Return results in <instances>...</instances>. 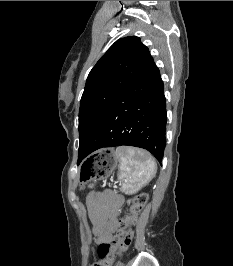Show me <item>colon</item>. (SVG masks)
I'll return each mask as SVG.
<instances>
[{
  "label": "colon",
  "instance_id": "colon-1",
  "mask_svg": "<svg viewBox=\"0 0 233 266\" xmlns=\"http://www.w3.org/2000/svg\"><path fill=\"white\" fill-rule=\"evenodd\" d=\"M146 202L147 195L143 193L135 195L126 201L116 235L111 243L99 246V260L92 266H113L116 262L117 266H123L118 259L128 250L131 244L134 224Z\"/></svg>",
  "mask_w": 233,
  "mask_h": 266
}]
</instances>
